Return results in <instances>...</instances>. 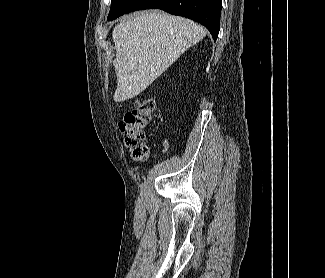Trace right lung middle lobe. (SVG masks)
Segmentation results:
<instances>
[{"instance_id": "obj_1", "label": "right lung middle lobe", "mask_w": 325, "mask_h": 278, "mask_svg": "<svg viewBox=\"0 0 325 278\" xmlns=\"http://www.w3.org/2000/svg\"><path fill=\"white\" fill-rule=\"evenodd\" d=\"M136 0H112L108 20H114L117 17L130 12Z\"/></svg>"}]
</instances>
